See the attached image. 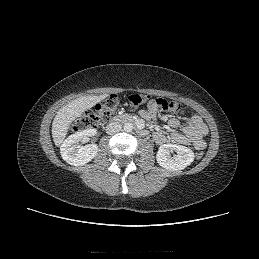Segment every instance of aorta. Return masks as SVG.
<instances>
[{
    "mask_svg": "<svg viewBox=\"0 0 259 259\" xmlns=\"http://www.w3.org/2000/svg\"><path fill=\"white\" fill-rule=\"evenodd\" d=\"M133 130V125L132 123H125L124 124V131L125 132H131Z\"/></svg>",
    "mask_w": 259,
    "mask_h": 259,
    "instance_id": "762f6f07",
    "label": "aorta"
}]
</instances>
